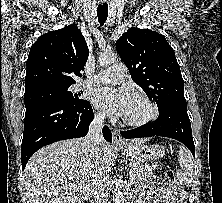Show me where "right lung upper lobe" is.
<instances>
[{"label":"right lung upper lobe","mask_w":222,"mask_h":203,"mask_svg":"<svg viewBox=\"0 0 222 203\" xmlns=\"http://www.w3.org/2000/svg\"><path fill=\"white\" fill-rule=\"evenodd\" d=\"M88 54L86 41L75 25L41 35L30 48L25 92L71 86L75 83L71 75L81 76Z\"/></svg>","instance_id":"obj_1"}]
</instances>
